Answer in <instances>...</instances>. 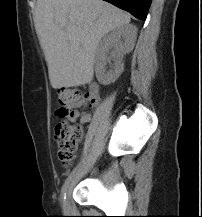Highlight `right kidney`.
<instances>
[{"label": "right kidney", "mask_w": 202, "mask_h": 217, "mask_svg": "<svg viewBox=\"0 0 202 217\" xmlns=\"http://www.w3.org/2000/svg\"><path fill=\"white\" fill-rule=\"evenodd\" d=\"M136 38L137 28L132 24L117 27L103 37L95 56V72L99 83L109 85L119 78L124 70L123 56L133 50ZM111 60L113 64L107 70L106 65Z\"/></svg>", "instance_id": "obj_1"}]
</instances>
